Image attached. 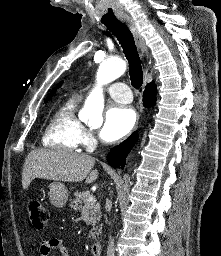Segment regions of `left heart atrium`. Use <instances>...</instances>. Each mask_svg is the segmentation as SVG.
Segmentation results:
<instances>
[{
  "label": "left heart atrium",
  "instance_id": "1",
  "mask_svg": "<svg viewBox=\"0 0 221 256\" xmlns=\"http://www.w3.org/2000/svg\"><path fill=\"white\" fill-rule=\"evenodd\" d=\"M134 111L126 106L110 105L105 112L100 137L106 142H114L128 134L135 124Z\"/></svg>",
  "mask_w": 221,
  "mask_h": 256
}]
</instances>
